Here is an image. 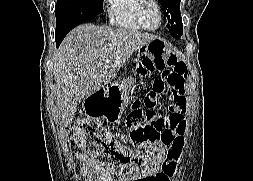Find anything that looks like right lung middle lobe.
I'll list each match as a JSON object with an SVG mask.
<instances>
[{"label":"right lung middle lobe","instance_id":"1","mask_svg":"<svg viewBox=\"0 0 253 181\" xmlns=\"http://www.w3.org/2000/svg\"><path fill=\"white\" fill-rule=\"evenodd\" d=\"M102 12V0H57L56 35L68 33L74 27Z\"/></svg>","mask_w":253,"mask_h":181}]
</instances>
